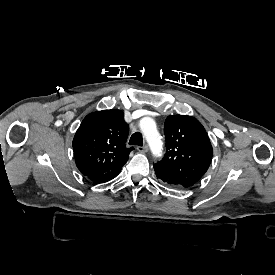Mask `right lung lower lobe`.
<instances>
[{"label": "right lung lower lobe", "instance_id": "98d812e1", "mask_svg": "<svg viewBox=\"0 0 275 275\" xmlns=\"http://www.w3.org/2000/svg\"><path fill=\"white\" fill-rule=\"evenodd\" d=\"M118 174L119 172H108V173L92 174V175H88L87 177L93 180L94 182L104 183L115 178Z\"/></svg>", "mask_w": 275, "mask_h": 275}]
</instances>
